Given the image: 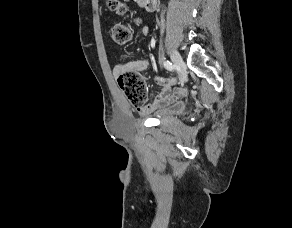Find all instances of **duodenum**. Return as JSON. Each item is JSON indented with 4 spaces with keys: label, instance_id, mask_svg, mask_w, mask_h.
<instances>
[{
    "label": "duodenum",
    "instance_id": "duodenum-1",
    "mask_svg": "<svg viewBox=\"0 0 292 228\" xmlns=\"http://www.w3.org/2000/svg\"><path fill=\"white\" fill-rule=\"evenodd\" d=\"M138 2L147 11H153L157 6V0H138Z\"/></svg>",
    "mask_w": 292,
    "mask_h": 228
}]
</instances>
